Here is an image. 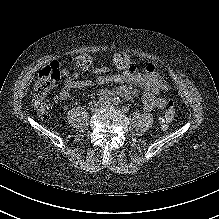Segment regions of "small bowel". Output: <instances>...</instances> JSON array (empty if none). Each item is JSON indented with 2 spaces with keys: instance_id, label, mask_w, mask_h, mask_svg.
Masks as SVG:
<instances>
[{
  "instance_id": "small-bowel-1",
  "label": "small bowel",
  "mask_w": 219,
  "mask_h": 219,
  "mask_svg": "<svg viewBox=\"0 0 219 219\" xmlns=\"http://www.w3.org/2000/svg\"><path fill=\"white\" fill-rule=\"evenodd\" d=\"M115 65L121 70L119 73L101 72L95 80L81 79L78 72H66L65 83L58 95L55 96V102L67 99L73 89L85 88L94 85H118L114 88H102L98 91L101 96L117 95L123 99L134 102L137 91L134 86L143 89L140 95L142 107L145 111L153 109H163L167 102L163 97H159L161 91H166L169 86L161 78L154 66L145 67L144 73L139 72L138 64L125 53H116L113 57ZM91 62L90 57L80 56L75 61V68L85 70Z\"/></svg>"
}]
</instances>
